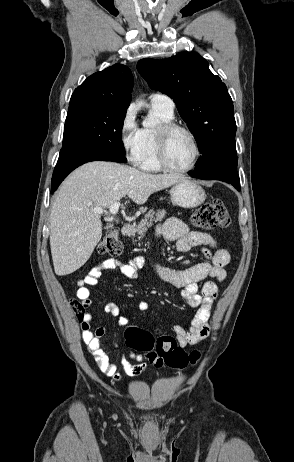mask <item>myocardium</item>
I'll use <instances>...</instances> for the list:
<instances>
[{
    "label": "myocardium",
    "mask_w": 294,
    "mask_h": 462,
    "mask_svg": "<svg viewBox=\"0 0 294 462\" xmlns=\"http://www.w3.org/2000/svg\"><path fill=\"white\" fill-rule=\"evenodd\" d=\"M176 131H183L185 132L192 140V143L194 145V157L191 161V163L183 168H176L173 167L167 157V147H168V141L170 136L176 132ZM156 147H157V160L158 164L161 167V169L170 172V173H186L191 171L192 169L195 168L197 165L200 157H201V146L199 143V140L195 133L188 128L185 125L175 123V122H167V123H162L158 128L156 132Z\"/></svg>",
    "instance_id": "1"
}]
</instances>
